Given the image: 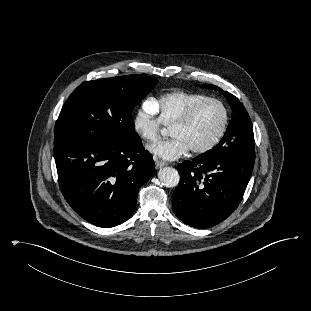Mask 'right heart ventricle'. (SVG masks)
<instances>
[{"label": "right heart ventricle", "mask_w": 311, "mask_h": 311, "mask_svg": "<svg viewBox=\"0 0 311 311\" xmlns=\"http://www.w3.org/2000/svg\"><path fill=\"white\" fill-rule=\"evenodd\" d=\"M205 98L207 96L203 94L177 91L165 94L154 102L162 124L171 126L191 106Z\"/></svg>", "instance_id": "right-heart-ventricle-1"}]
</instances>
